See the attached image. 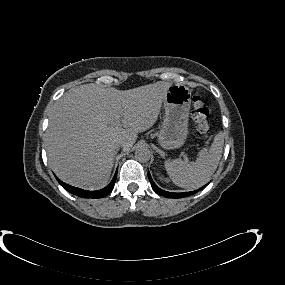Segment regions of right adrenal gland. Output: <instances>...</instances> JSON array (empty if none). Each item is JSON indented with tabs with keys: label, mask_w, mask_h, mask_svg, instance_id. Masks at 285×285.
I'll list each match as a JSON object with an SVG mask.
<instances>
[{
	"label": "right adrenal gland",
	"mask_w": 285,
	"mask_h": 285,
	"mask_svg": "<svg viewBox=\"0 0 285 285\" xmlns=\"http://www.w3.org/2000/svg\"><path fill=\"white\" fill-rule=\"evenodd\" d=\"M117 152H118V149L115 151V155H114V157L117 155Z\"/></svg>",
	"instance_id": "obj_1"
}]
</instances>
